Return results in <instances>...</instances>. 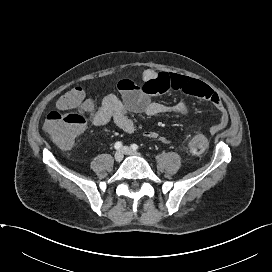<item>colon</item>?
<instances>
[{"instance_id": "obj_1", "label": "colon", "mask_w": 272, "mask_h": 272, "mask_svg": "<svg viewBox=\"0 0 272 272\" xmlns=\"http://www.w3.org/2000/svg\"><path fill=\"white\" fill-rule=\"evenodd\" d=\"M94 103L86 98L81 88L66 92L57 102L58 111L50 112L44 128L52 139L62 147H70L85 126V116L92 111ZM207 138L198 134L190 141V150L195 154L205 151Z\"/></svg>"}]
</instances>
